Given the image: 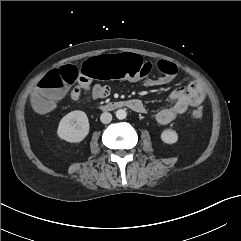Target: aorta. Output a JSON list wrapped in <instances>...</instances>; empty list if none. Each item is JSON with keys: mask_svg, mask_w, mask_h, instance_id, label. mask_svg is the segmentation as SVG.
<instances>
[{"mask_svg": "<svg viewBox=\"0 0 241 241\" xmlns=\"http://www.w3.org/2000/svg\"><path fill=\"white\" fill-rule=\"evenodd\" d=\"M116 117L119 120L125 119L127 117V113L124 109H118L116 111Z\"/></svg>", "mask_w": 241, "mask_h": 241, "instance_id": "aorta-1", "label": "aorta"}]
</instances>
